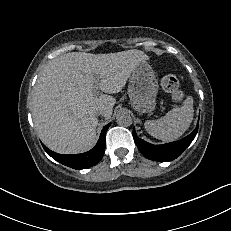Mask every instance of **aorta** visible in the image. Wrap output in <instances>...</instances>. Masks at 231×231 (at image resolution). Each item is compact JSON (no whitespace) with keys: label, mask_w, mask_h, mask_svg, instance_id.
Masks as SVG:
<instances>
[{"label":"aorta","mask_w":231,"mask_h":231,"mask_svg":"<svg viewBox=\"0 0 231 231\" xmlns=\"http://www.w3.org/2000/svg\"><path fill=\"white\" fill-rule=\"evenodd\" d=\"M116 122L119 126L128 127L132 124V117L125 112H121L116 117Z\"/></svg>","instance_id":"762f6f07"}]
</instances>
